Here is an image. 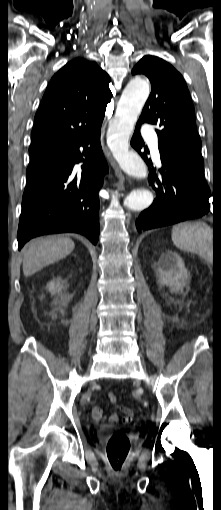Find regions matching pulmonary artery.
Instances as JSON below:
<instances>
[{"label": "pulmonary artery", "instance_id": "pulmonary-artery-1", "mask_svg": "<svg viewBox=\"0 0 221 510\" xmlns=\"http://www.w3.org/2000/svg\"><path fill=\"white\" fill-rule=\"evenodd\" d=\"M143 136L148 143L154 157L159 158L158 139L156 132L145 125L143 127Z\"/></svg>", "mask_w": 221, "mask_h": 510}]
</instances>
